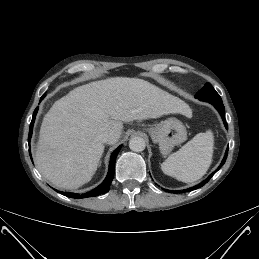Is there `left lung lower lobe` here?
Returning a JSON list of instances; mask_svg holds the SVG:
<instances>
[{"instance_id":"left-lung-lower-lobe-1","label":"left lung lower lobe","mask_w":259,"mask_h":259,"mask_svg":"<svg viewBox=\"0 0 259 259\" xmlns=\"http://www.w3.org/2000/svg\"><path fill=\"white\" fill-rule=\"evenodd\" d=\"M210 103L218 110V112L220 113V115H221V117H222V120H223V122H224L225 127L228 129V125H227V123H226V121H225V108H224V105H223L222 101H212V102H210ZM227 155H228V148H227V150H226V152H225V156H224V158H223V160H222V162H221L219 168L225 163L226 158H227ZM219 168L216 169V171H215L214 173H212L211 175H209V176H208L204 181H202L200 184L194 186L193 188H189V189L186 190V191H190V190H193V189H197V188L203 186L204 184H206V183L210 180V178L219 170ZM171 192H173V191H171Z\"/></svg>"}]
</instances>
